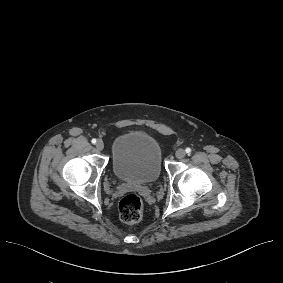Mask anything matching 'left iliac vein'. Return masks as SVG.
<instances>
[{
    "label": "left iliac vein",
    "mask_w": 283,
    "mask_h": 283,
    "mask_svg": "<svg viewBox=\"0 0 283 283\" xmlns=\"http://www.w3.org/2000/svg\"><path fill=\"white\" fill-rule=\"evenodd\" d=\"M186 155L185 151L182 149V148H179L176 150L175 152V156L178 158V159H182L184 158Z\"/></svg>",
    "instance_id": "1"
}]
</instances>
